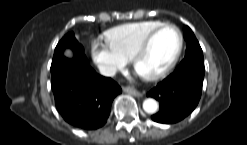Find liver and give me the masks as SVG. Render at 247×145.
Returning <instances> with one entry per match:
<instances>
[{
  "instance_id": "1",
  "label": "liver",
  "mask_w": 247,
  "mask_h": 145,
  "mask_svg": "<svg viewBox=\"0 0 247 145\" xmlns=\"http://www.w3.org/2000/svg\"><path fill=\"white\" fill-rule=\"evenodd\" d=\"M63 54H64V56H66V57L69 58V59H73V58H74V53H73V51H72L70 48H68V47H66V48L64 49Z\"/></svg>"
}]
</instances>
